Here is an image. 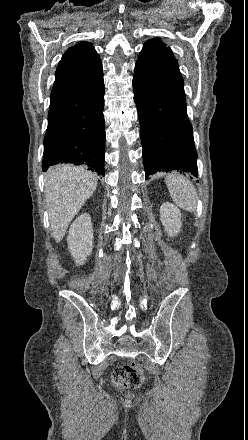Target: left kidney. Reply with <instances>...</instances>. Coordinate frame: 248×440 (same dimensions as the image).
I'll return each mask as SVG.
<instances>
[{
  "label": "left kidney",
  "mask_w": 248,
  "mask_h": 440,
  "mask_svg": "<svg viewBox=\"0 0 248 440\" xmlns=\"http://www.w3.org/2000/svg\"><path fill=\"white\" fill-rule=\"evenodd\" d=\"M182 213L172 203H163L160 208V219L169 236L174 237L182 227Z\"/></svg>",
  "instance_id": "left-kidney-1"
}]
</instances>
